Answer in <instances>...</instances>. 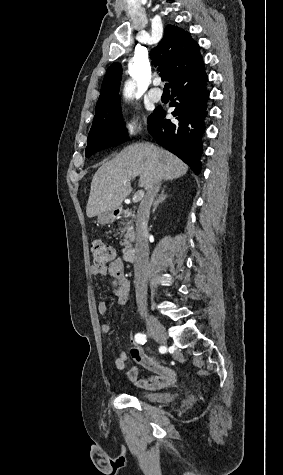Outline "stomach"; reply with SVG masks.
I'll list each match as a JSON object with an SVG mask.
<instances>
[{"mask_svg": "<svg viewBox=\"0 0 283 475\" xmlns=\"http://www.w3.org/2000/svg\"><path fill=\"white\" fill-rule=\"evenodd\" d=\"M98 224H111V222H114V216L113 212H101V214H98L97 218Z\"/></svg>", "mask_w": 283, "mask_h": 475, "instance_id": "1", "label": "stomach"}]
</instances>
